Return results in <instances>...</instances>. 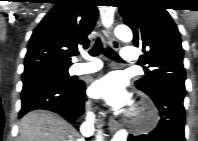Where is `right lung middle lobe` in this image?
I'll use <instances>...</instances> for the list:
<instances>
[{
    "label": "right lung middle lobe",
    "mask_w": 198,
    "mask_h": 141,
    "mask_svg": "<svg viewBox=\"0 0 198 141\" xmlns=\"http://www.w3.org/2000/svg\"><path fill=\"white\" fill-rule=\"evenodd\" d=\"M40 80L56 81L64 85H70L75 82L69 78L68 67L41 68L37 70L24 72L22 75L23 83Z\"/></svg>",
    "instance_id": "obj_1"
}]
</instances>
